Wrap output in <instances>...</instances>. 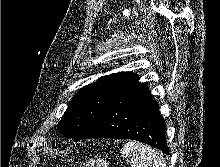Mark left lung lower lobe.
<instances>
[{
	"mask_svg": "<svg viewBox=\"0 0 220 167\" xmlns=\"http://www.w3.org/2000/svg\"><path fill=\"white\" fill-rule=\"evenodd\" d=\"M90 138L137 140L169 154L158 104L148 87L138 81L115 97L82 139Z\"/></svg>",
	"mask_w": 220,
	"mask_h": 167,
	"instance_id": "1",
	"label": "left lung lower lobe"
}]
</instances>
